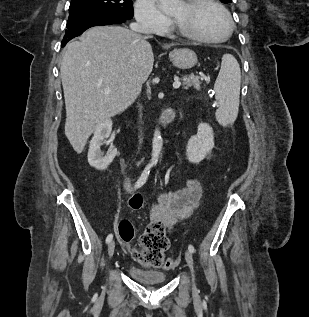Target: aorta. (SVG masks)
Masks as SVG:
<instances>
[{
  "instance_id": "aorta-1",
  "label": "aorta",
  "mask_w": 309,
  "mask_h": 317,
  "mask_svg": "<svg viewBox=\"0 0 309 317\" xmlns=\"http://www.w3.org/2000/svg\"><path fill=\"white\" fill-rule=\"evenodd\" d=\"M180 0H158L162 10L169 11L174 8ZM162 148V137L158 129L155 130L152 140L151 165H156Z\"/></svg>"
}]
</instances>
